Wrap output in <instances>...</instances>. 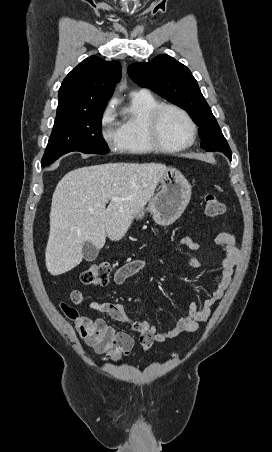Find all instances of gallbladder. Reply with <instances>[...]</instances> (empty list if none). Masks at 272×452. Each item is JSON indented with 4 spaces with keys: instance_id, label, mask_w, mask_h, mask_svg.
Returning a JSON list of instances; mask_svg holds the SVG:
<instances>
[{
    "instance_id": "1",
    "label": "gallbladder",
    "mask_w": 272,
    "mask_h": 452,
    "mask_svg": "<svg viewBox=\"0 0 272 452\" xmlns=\"http://www.w3.org/2000/svg\"><path fill=\"white\" fill-rule=\"evenodd\" d=\"M83 257L87 261L94 260L98 253L99 249L91 242H85L82 247Z\"/></svg>"
}]
</instances>
